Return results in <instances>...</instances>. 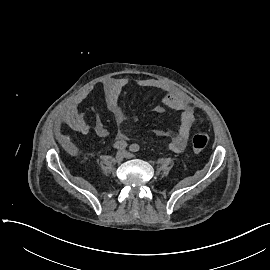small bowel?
Here are the masks:
<instances>
[{
  "label": "small bowel",
  "mask_w": 270,
  "mask_h": 270,
  "mask_svg": "<svg viewBox=\"0 0 270 270\" xmlns=\"http://www.w3.org/2000/svg\"><path fill=\"white\" fill-rule=\"evenodd\" d=\"M129 84L127 78L110 79L104 82L103 91L105 94V103L108 110L113 114L118 126L117 138L126 139L127 134L124 130V123L127 118L126 112L119 103L120 95L123 89ZM143 88L157 89L161 91V101L163 105L156 106L154 111L158 114L164 112L165 107L181 112L179 128L176 131H170L167 135L171 138L169 148L175 153H181L187 144L190 132L195 123V111L188 96L181 90L170 87L154 79H145L139 82ZM87 91L81 92L72 105L65 111L63 121L71 130L88 134L93 128L95 134L100 138H107L109 131L100 120L90 123L79 110V105L85 99ZM68 140V137L64 138Z\"/></svg>",
  "instance_id": "obj_1"
}]
</instances>
